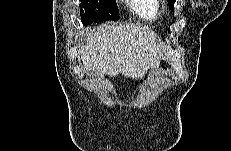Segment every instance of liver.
Here are the masks:
<instances>
[{"label": "liver", "mask_w": 231, "mask_h": 151, "mask_svg": "<svg viewBox=\"0 0 231 151\" xmlns=\"http://www.w3.org/2000/svg\"><path fill=\"white\" fill-rule=\"evenodd\" d=\"M80 55L84 68L97 75L142 78L159 65L162 53L156 34L135 24H105L82 33Z\"/></svg>", "instance_id": "liver-1"}]
</instances>
